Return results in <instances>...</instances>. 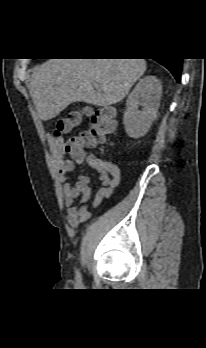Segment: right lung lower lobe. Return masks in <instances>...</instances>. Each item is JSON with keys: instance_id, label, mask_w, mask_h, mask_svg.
I'll return each mask as SVG.
<instances>
[{"instance_id": "obj_1", "label": "right lung lower lobe", "mask_w": 206, "mask_h": 348, "mask_svg": "<svg viewBox=\"0 0 206 348\" xmlns=\"http://www.w3.org/2000/svg\"><path fill=\"white\" fill-rule=\"evenodd\" d=\"M156 61L159 62L160 64H162L163 66H165L173 74V76L175 77L177 82L180 81L182 61H183L182 59L163 58V59H159Z\"/></svg>"}]
</instances>
